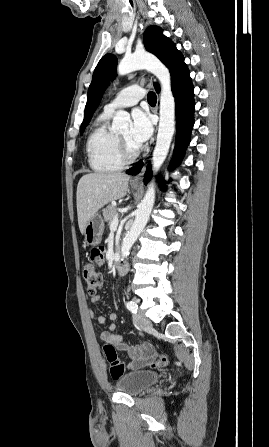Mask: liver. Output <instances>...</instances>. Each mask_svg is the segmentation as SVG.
Returning <instances> with one entry per match:
<instances>
[{"label": "liver", "instance_id": "liver-1", "mask_svg": "<svg viewBox=\"0 0 269 447\" xmlns=\"http://www.w3.org/2000/svg\"><path fill=\"white\" fill-rule=\"evenodd\" d=\"M130 176L110 172V174H86L77 186V216L81 233L90 218L113 200L126 196Z\"/></svg>", "mask_w": 269, "mask_h": 447}]
</instances>
